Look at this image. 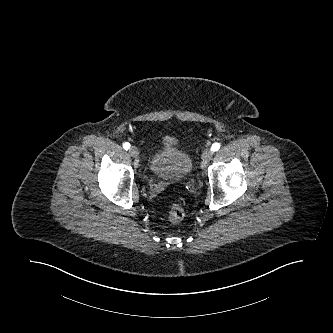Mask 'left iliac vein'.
Segmentation results:
<instances>
[{
  "label": "left iliac vein",
  "mask_w": 333,
  "mask_h": 333,
  "mask_svg": "<svg viewBox=\"0 0 333 333\" xmlns=\"http://www.w3.org/2000/svg\"><path fill=\"white\" fill-rule=\"evenodd\" d=\"M212 156L213 152L209 148L204 149L201 155L203 164L206 165L212 159Z\"/></svg>",
  "instance_id": "left-iliac-vein-1"
}]
</instances>
